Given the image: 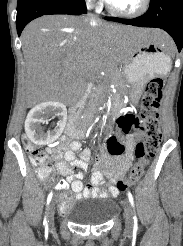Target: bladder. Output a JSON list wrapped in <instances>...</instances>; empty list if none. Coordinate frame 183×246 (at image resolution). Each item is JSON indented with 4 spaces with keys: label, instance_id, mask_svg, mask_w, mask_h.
Masks as SVG:
<instances>
[{
    "label": "bladder",
    "instance_id": "bladder-1",
    "mask_svg": "<svg viewBox=\"0 0 183 246\" xmlns=\"http://www.w3.org/2000/svg\"><path fill=\"white\" fill-rule=\"evenodd\" d=\"M93 200L69 214L70 220L81 226H100L109 222L117 212V204L107 197H92Z\"/></svg>",
    "mask_w": 183,
    "mask_h": 246
}]
</instances>
